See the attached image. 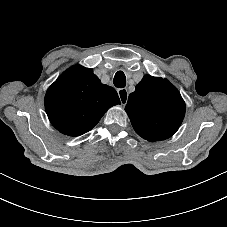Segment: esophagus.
I'll use <instances>...</instances> for the list:
<instances>
[{
	"label": "esophagus",
	"instance_id": "esophagus-1",
	"mask_svg": "<svg viewBox=\"0 0 227 227\" xmlns=\"http://www.w3.org/2000/svg\"><path fill=\"white\" fill-rule=\"evenodd\" d=\"M117 93L120 98L121 104L123 106H125L128 101V96H129L128 90L125 88L117 89Z\"/></svg>",
	"mask_w": 227,
	"mask_h": 227
}]
</instances>
